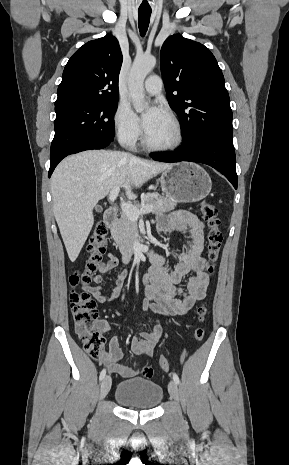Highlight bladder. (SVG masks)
Listing matches in <instances>:
<instances>
[{"mask_svg": "<svg viewBox=\"0 0 289 465\" xmlns=\"http://www.w3.org/2000/svg\"><path fill=\"white\" fill-rule=\"evenodd\" d=\"M114 396L116 401L124 407L149 410L160 404L163 389L157 383L133 377L120 381Z\"/></svg>", "mask_w": 289, "mask_h": 465, "instance_id": "bladder-1", "label": "bladder"}]
</instances>
